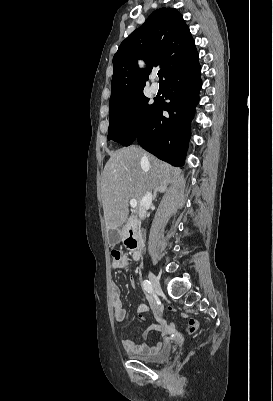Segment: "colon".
<instances>
[{
  "instance_id": "colon-1",
  "label": "colon",
  "mask_w": 273,
  "mask_h": 401,
  "mask_svg": "<svg viewBox=\"0 0 273 401\" xmlns=\"http://www.w3.org/2000/svg\"><path fill=\"white\" fill-rule=\"evenodd\" d=\"M187 355H188V356H191V355H192V352H191V351H188V352H187Z\"/></svg>"
}]
</instances>
